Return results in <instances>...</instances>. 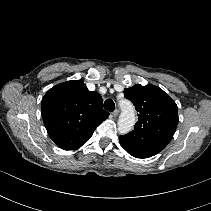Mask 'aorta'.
<instances>
[{"instance_id": "aorta-1", "label": "aorta", "mask_w": 211, "mask_h": 211, "mask_svg": "<svg viewBox=\"0 0 211 211\" xmlns=\"http://www.w3.org/2000/svg\"><path fill=\"white\" fill-rule=\"evenodd\" d=\"M121 114L118 119V131L120 134L130 132L135 125V110L132 103L128 100L119 102Z\"/></svg>"}]
</instances>
